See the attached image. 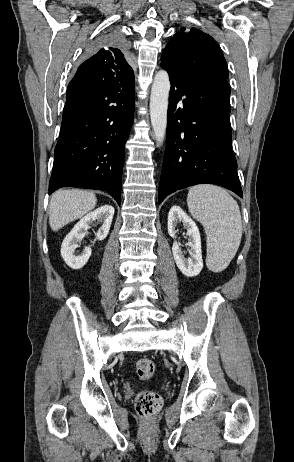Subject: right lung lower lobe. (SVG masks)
<instances>
[{"label": "right lung lower lobe", "instance_id": "98d812e1", "mask_svg": "<svg viewBox=\"0 0 294 462\" xmlns=\"http://www.w3.org/2000/svg\"><path fill=\"white\" fill-rule=\"evenodd\" d=\"M134 75L114 87L66 96L49 194L64 186L101 189L120 205L124 146L134 113Z\"/></svg>", "mask_w": 294, "mask_h": 462}]
</instances>
